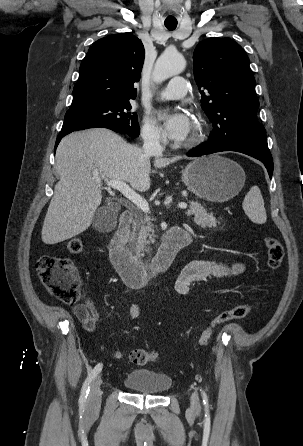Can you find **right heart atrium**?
<instances>
[{"mask_svg":"<svg viewBox=\"0 0 303 446\" xmlns=\"http://www.w3.org/2000/svg\"><path fill=\"white\" fill-rule=\"evenodd\" d=\"M141 136L150 145H158L164 142V136L160 128L150 116H145L141 126Z\"/></svg>","mask_w":303,"mask_h":446,"instance_id":"d8ad5b80","label":"right heart atrium"}]
</instances>
